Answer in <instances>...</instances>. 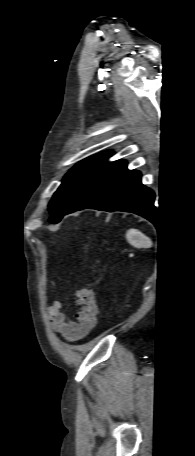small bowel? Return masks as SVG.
Here are the masks:
<instances>
[{
  "mask_svg": "<svg viewBox=\"0 0 195 456\" xmlns=\"http://www.w3.org/2000/svg\"><path fill=\"white\" fill-rule=\"evenodd\" d=\"M74 297L80 306L74 319H70L62 311V301L57 300L52 304H46L47 316L52 329L69 342L77 341L89 334L96 324L98 314L92 290H77Z\"/></svg>",
  "mask_w": 195,
  "mask_h": 456,
  "instance_id": "obj_1",
  "label": "small bowel"
}]
</instances>
